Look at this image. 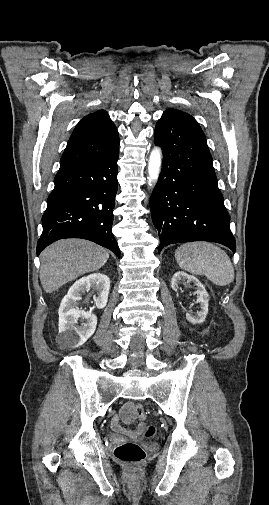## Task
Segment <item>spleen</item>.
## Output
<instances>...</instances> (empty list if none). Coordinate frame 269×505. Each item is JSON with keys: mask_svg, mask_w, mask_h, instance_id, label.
Masks as SVG:
<instances>
[{"mask_svg": "<svg viewBox=\"0 0 269 505\" xmlns=\"http://www.w3.org/2000/svg\"><path fill=\"white\" fill-rule=\"evenodd\" d=\"M175 259L180 268L191 274L204 275L218 286L234 281V268L229 256L212 243H184L176 249Z\"/></svg>", "mask_w": 269, "mask_h": 505, "instance_id": "spleen-1", "label": "spleen"}]
</instances>
